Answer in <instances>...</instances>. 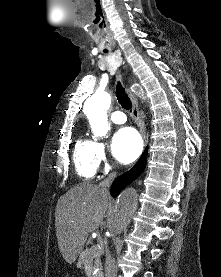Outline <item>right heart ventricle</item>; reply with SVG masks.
<instances>
[{"label":"right heart ventricle","instance_id":"1","mask_svg":"<svg viewBox=\"0 0 221 277\" xmlns=\"http://www.w3.org/2000/svg\"><path fill=\"white\" fill-rule=\"evenodd\" d=\"M73 163L81 179H92L99 166L96 158V142L86 137L79 138L73 150Z\"/></svg>","mask_w":221,"mask_h":277}]
</instances>
